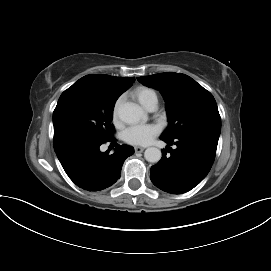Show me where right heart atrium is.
I'll use <instances>...</instances> for the list:
<instances>
[{
    "instance_id": "right-heart-atrium-1",
    "label": "right heart atrium",
    "mask_w": 271,
    "mask_h": 271,
    "mask_svg": "<svg viewBox=\"0 0 271 271\" xmlns=\"http://www.w3.org/2000/svg\"><path fill=\"white\" fill-rule=\"evenodd\" d=\"M118 106H119V101L116 103L114 111H113V118H114V120L117 119Z\"/></svg>"
}]
</instances>
